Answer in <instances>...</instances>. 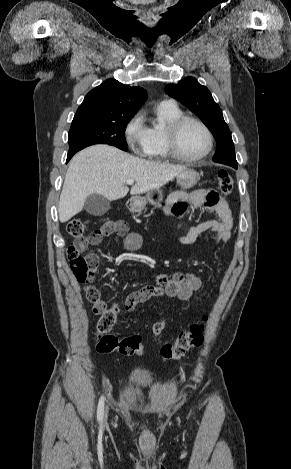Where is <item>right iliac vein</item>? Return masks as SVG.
<instances>
[{
	"mask_svg": "<svg viewBox=\"0 0 291 469\" xmlns=\"http://www.w3.org/2000/svg\"><path fill=\"white\" fill-rule=\"evenodd\" d=\"M106 417H107V409H106V411H105V419H106Z\"/></svg>",
	"mask_w": 291,
	"mask_h": 469,
	"instance_id": "1",
	"label": "right iliac vein"
}]
</instances>
